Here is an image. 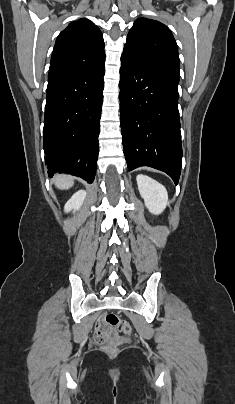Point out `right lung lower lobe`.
I'll return each mask as SVG.
<instances>
[{"label":"right lung lower lobe","mask_w":235,"mask_h":404,"mask_svg":"<svg viewBox=\"0 0 235 404\" xmlns=\"http://www.w3.org/2000/svg\"><path fill=\"white\" fill-rule=\"evenodd\" d=\"M104 62L48 73L43 148L49 177L67 173L94 180Z\"/></svg>","instance_id":"1"}]
</instances>
